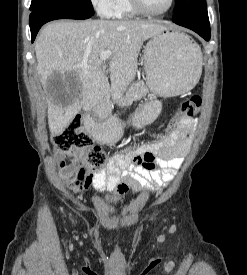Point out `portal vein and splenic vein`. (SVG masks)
Here are the masks:
<instances>
[{"label":"portal vein and splenic vein","instance_id":"portal-vein-and-splenic-vein-1","mask_svg":"<svg viewBox=\"0 0 247 275\" xmlns=\"http://www.w3.org/2000/svg\"><path fill=\"white\" fill-rule=\"evenodd\" d=\"M111 55H112V52L110 50H106V51L101 53L100 60L102 62H105V61H107L111 58Z\"/></svg>","mask_w":247,"mask_h":275}]
</instances>
